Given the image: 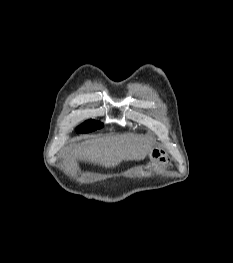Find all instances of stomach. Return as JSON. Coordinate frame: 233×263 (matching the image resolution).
Returning a JSON list of instances; mask_svg holds the SVG:
<instances>
[{
    "mask_svg": "<svg viewBox=\"0 0 233 263\" xmlns=\"http://www.w3.org/2000/svg\"><path fill=\"white\" fill-rule=\"evenodd\" d=\"M150 158L153 161H157L160 164H167L169 163V158L167 156V153L160 149V148H155L150 152Z\"/></svg>",
    "mask_w": 233,
    "mask_h": 263,
    "instance_id": "obj_1",
    "label": "stomach"
}]
</instances>
